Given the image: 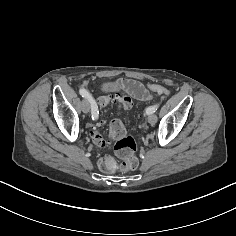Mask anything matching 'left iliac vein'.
Returning a JSON list of instances; mask_svg holds the SVG:
<instances>
[{
    "instance_id": "left-iliac-vein-1",
    "label": "left iliac vein",
    "mask_w": 236,
    "mask_h": 236,
    "mask_svg": "<svg viewBox=\"0 0 236 236\" xmlns=\"http://www.w3.org/2000/svg\"><path fill=\"white\" fill-rule=\"evenodd\" d=\"M157 115H155V114H150L149 116H148V122L150 123V124H155L156 122H157Z\"/></svg>"
}]
</instances>
